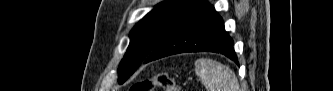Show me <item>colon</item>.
Returning <instances> with one entry per match:
<instances>
[{
	"label": "colon",
	"instance_id": "5ec220e1",
	"mask_svg": "<svg viewBox=\"0 0 333 91\" xmlns=\"http://www.w3.org/2000/svg\"><path fill=\"white\" fill-rule=\"evenodd\" d=\"M159 87L163 91H181L175 80L166 73H159L152 78L134 83L130 91H153Z\"/></svg>",
	"mask_w": 333,
	"mask_h": 91
}]
</instances>
